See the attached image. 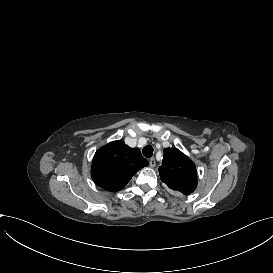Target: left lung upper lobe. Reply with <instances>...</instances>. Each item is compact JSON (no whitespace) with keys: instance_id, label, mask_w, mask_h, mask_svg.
I'll return each instance as SVG.
<instances>
[{"instance_id":"left-lung-upper-lobe-1","label":"left lung upper lobe","mask_w":273,"mask_h":273,"mask_svg":"<svg viewBox=\"0 0 273 273\" xmlns=\"http://www.w3.org/2000/svg\"><path fill=\"white\" fill-rule=\"evenodd\" d=\"M162 182L184 195L192 193L197 186L195 164L176 148L164 149L162 165L159 167Z\"/></svg>"}]
</instances>
